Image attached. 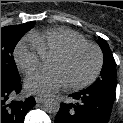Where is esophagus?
Returning <instances> with one entry per match:
<instances>
[{
    "instance_id": "esophagus-1",
    "label": "esophagus",
    "mask_w": 123,
    "mask_h": 123,
    "mask_svg": "<svg viewBox=\"0 0 123 123\" xmlns=\"http://www.w3.org/2000/svg\"><path fill=\"white\" fill-rule=\"evenodd\" d=\"M35 101L37 103H43L45 101V98H42V97H35Z\"/></svg>"
}]
</instances>
